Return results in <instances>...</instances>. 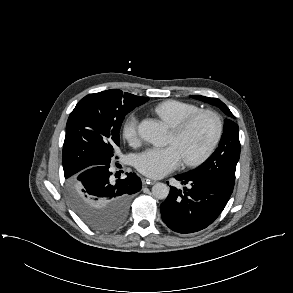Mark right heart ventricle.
I'll list each match as a JSON object with an SVG mask.
<instances>
[{"mask_svg":"<svg viewBox=\"0 0 293 293\" xmlns=\"http://www.w3.org/2000/svg\"><path fill=\"white\" fill-rule=\"evenodd\" d=\"M200 110L201 108L195 104L179 100H166L154 108L156 114L171 127Z\"/></svg>","mask_w":293,"mask_h":293,"instance_id":"1","label":"right heart ventricle"}]
</instances>
